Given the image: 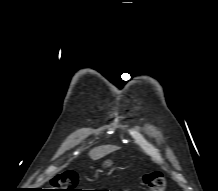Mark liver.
<instances>
[{
  "label": "liver",
  "mask_w": 218,
  "mask_h": 191,
  "mask_svg": "<svg viewBox=\"0 0 218 191\" xmlns=\"http://www.w3.org/2000/svg\"><path fill=\"white\" fill-rule=\"evenodd\" d=\"M117 149H118L117 146H112V145L99 146V147H96V148H93L92 150H90L89 156L93 160H97L99 158L106 156L107 154H109L113 151H116Z\"/></svg>",
  "instance_id": "6515ba94"
}]
</instances>
